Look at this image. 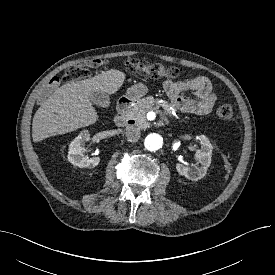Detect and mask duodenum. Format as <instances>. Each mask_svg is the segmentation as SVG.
<instances>
[{"mask_svg":"<svg viewBox=\"0 0 275 275\" xmlns=\"http://www.w3.org/2000/svg\"><path fill=\"white\" fill-rule=\"evenodd\" d=\"M131 104L129 98H122L117 105V114L115 116V124L119 127L126 126L130 123L128 111Z\"/></svg>","mask_w":275,"mask_h":275,"instance_id":"duodenum-1","label":"duodenum"}]
</instances>
